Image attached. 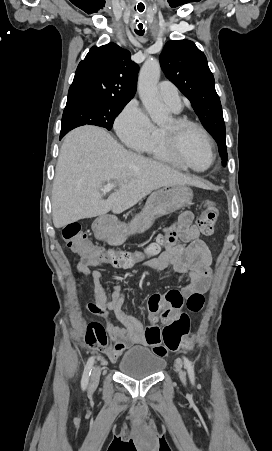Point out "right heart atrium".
Wrapping results in <instances>:
<instances>
[{
	"label": "right heart atrium",
	"instance_id": "obj_1",
	"mask_svg": "<svg viewBox=\"0 0 272 451\" xmlns=\"http://www.w3.org/2000/svg\"><path fill=\"white\" fill-rule=\"evenodd\" d=\"M115 125L120 136L132 146L146 143L155 129L146 111L135 102L124 108Z\"/></svg>",
	"mask_w": 272,
	"mask_h": 451
}]
</instances>
